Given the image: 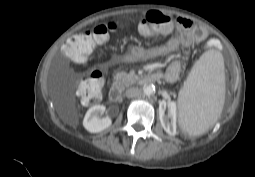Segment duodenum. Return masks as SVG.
<instances>
[{"label":"duodenum","instance_id":"1","mask_svg":"<svg viewBox=\"0 0 255 177\" xmlns=\"http://www.w3.org/2000/svg\"><path fill=\"white\" fill-rule=\"evenodd\" d=\"M160 79L161 74L154 72L143 75L142 77H140L139 82L141 84H151L158 82ZM109 97L113 102H119L122 97L121 88L118 85H114L113 87H111L109 91Z\"/></svg>","mask_w":255,"mask_h":177}]
</instances>
